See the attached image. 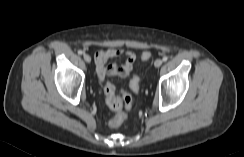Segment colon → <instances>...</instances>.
<instances>
[{
    "label": "colon",
    "mask_w": 244,
    "mask_h": 157,
    "mask_svg": "<svg viewBox=\"0 0 244 157\" xmlns=\"http://www.w3.org/2000/svg\"><path fill=\"white\" fill-rule=\"evenodd\" d=\"M152 54L150 51H144L140 55L142 61H147L151 58ZM131 88L134 91L139 89V78L133 76L130 81ZM104 93L107 105L114 111L116 114L110 119L109 125L113 128H117L122 125L126 119V114L123 112V109L131 108L133 104V99L129 93L122 91L121 96H117L115 92L114 85L107 81L104 86Z\"/></svg>",
    "instance_id": "1"
}]
</instances>
